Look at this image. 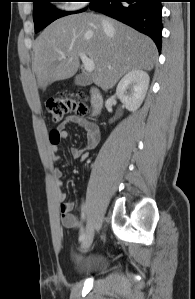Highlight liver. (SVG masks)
I'll return each instance as SVG.
<instances>
[{"label":"liver","instance_id":"obj_1","mask_svg":"<svg viewBox=\"0 0 195 299\" xmlns=\"http://www.w3.org/2000/svg\"><path fill=\"white\" fill-rule=\"evenodd\" d=\"M102 19L108 20L104 29ZM32 71L38 87L72 77L80 66L79 54L94 60V83L109 89L127 72L151 70L157 59L155 43L131 27L93 13L62 17L37 37ZM62 54L65 57L62 58Z\"/></svg>","mask_w":195,"mask_h":299}]
</instances>
